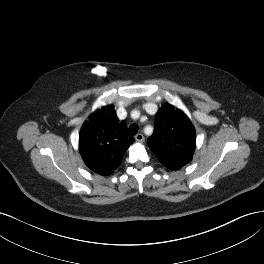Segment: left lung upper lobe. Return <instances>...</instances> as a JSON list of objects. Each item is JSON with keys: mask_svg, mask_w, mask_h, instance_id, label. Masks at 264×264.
<instances>
[{"mask_svg": "<svg viewBox=\"0 0 264 264\" xmlns=\"http://www.w3.org/2000/svg\"><path fill=\"white\" fill-rule=\"evenodd\" d=\"M195 141V129L181 110L170 104L158 110L148 145L166 168L179 170L190 162Z\"/></svg>", "mask_w": 264, "mask_h": 264, "instance_id": "obj_1", "label": "left lung upper lobe"}]
</instances>
